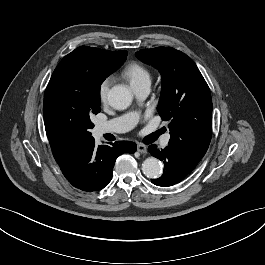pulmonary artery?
Returning <instances> with one entry per match:
<instances>
[{
    "label": "pulmonary artery",
    "mask_w": 265,
    "mask_h": 265,
    "mask_svg": "<svg viewBox=\"0 0 265 265\" xmlns=\"http://www.w3.org/2000/svg\"><path fill=\"white\" fill-rule=\"evenodd\" d=\"M151 83L147 82L133 88L136 96L143 100L150 93ZM139 119L138 112H130L122 116L116 117L106 122H101L96 125L97 135H103L106 133H123L131 130ZM169 142V136L166 135L162 139V145L167 146Z\"/></svg>",
    "instance_id": "obj_1"
}]
</instances>
